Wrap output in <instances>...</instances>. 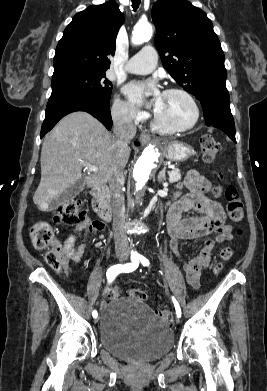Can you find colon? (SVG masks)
Here are the masks:
<instances>
[{
  "label": "colon",
  "mask_w": 267,
  "mask_h": 391,
  "mask_svg": "<svg viewBox=\"0 0 267 391\" xmlns=\"http://www.w3.org/2000/svg\"><path fill=\"white\" fill-rule=\"evenodd\" d=\"M200 143L204 161L212 162L218 152L217 141L211 135H203ZM219 193L220 189L216 188L215 194L218 195ZM224 197L230 219L234 222H240L244 217V211L237 189L234 186H228L224 191ZM53 214L54 221L64 225H76L86 220L81 211V204L77 199L64 200L54 209ZM237 233L241 234L242 230L238 229ZM30 238L37 250L45 252L46 262L51 268L57 271L64 268L65 261L60 252L55 231L48 222H37L30 231ZM232 255L233 249L230 246L222 247L219 252L220 261L215 265V272H219L223 267V263L228 261ZM108 296L111 299H116L120 296V290L117 287H112L108 292ZM128 296L141 301L146 298L145 292L140 289L130 290ZM157 314L167 324H170L173 320L172 313L169 310H160Z\"/></svg>",
  "instance_id": "1"
}]
</instances>
